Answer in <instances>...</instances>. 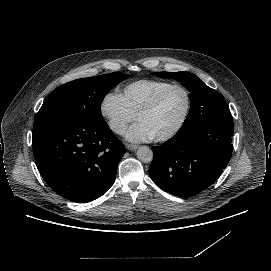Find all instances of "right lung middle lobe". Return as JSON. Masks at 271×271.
<instances>
[{"mask_svg": "<svg viewBox=\"0 0 271 271\" xmlns=\"http://www.w3.org/2000/svg\"><path fill=\"white\" fill-rule=\"evenodd\" d=\"M128 74L114 72L68 82L53 91L35 116L34 125L45 120L104 121L101 104L106 94Z\"/></svg>", "mask_w": 271, "mask_h": 271, "instance_id": "dd1d6c3e", "label": "right lung middle lobe"}]
</instances>
